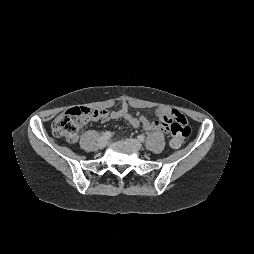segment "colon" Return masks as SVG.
Returning a JSON list of instances; mask_svg holds the SVG:
<instances>
[{"instance_id": "obj_1", "label": "colon", "mask_w": 254, "mask_h": 254, "mask_svg": "<svg viewBox=\"0 0 254 254\" xmlns=\"http://www.w3.org/2000/svg\"><path fill=\"white\" fill-rule=\"evenodd\" d=\"M99 111L91 110L86 107H76L69 109L58 115L52 122V132L55 136L73 142L77 139L80 126L87 121L98 119ZM171 129V146L174 148L180 147L191 130L185 117L175 112L170 120Z\"/></svg>"}]
</instances>
